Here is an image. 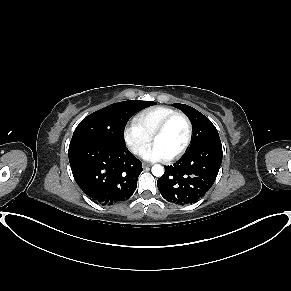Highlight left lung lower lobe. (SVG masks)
<instances>
[{"instance_id":"0a47b994","label":"left lung lower lobe","mask_w":291,"mask_h":291,"mask_svg":"<svg viewBox=\"0 0 291 291\" xmlns=\"http://www.w3.org/2000/svg\"><path fill=\"white\" fill-rule=\"evenodd\" d=\"M222 145L214 139L190 150L175 164L165 167L157 181L164 199L175 204H192L214 184L221 162Z\"/></svg>"}]
</instances>
